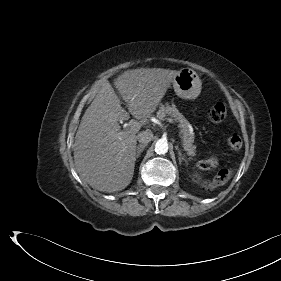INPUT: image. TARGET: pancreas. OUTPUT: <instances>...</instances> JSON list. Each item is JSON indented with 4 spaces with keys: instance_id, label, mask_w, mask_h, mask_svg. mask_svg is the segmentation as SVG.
<instances>
[{
    "instance_id": "obj_1",
    "label": "pancreas",
    "mask_w": 281,
    "mask_h": 281,
    "mask_svg": "<svg viewBox=\"0 0 281 281\" xmlns=\"http://www.w3.org/2000/svg\"><path fill=\"white\" fill-rule=\"evenodd\" d=\"M166 116L174 118L178 122V127L180 128L183 148L190 156V159L196 155V146L194 143V135L190 132L189 121L178 111L174 104L160 105L157 111V118L160 120H165Z\"/></svg>"
}]
</instances>
